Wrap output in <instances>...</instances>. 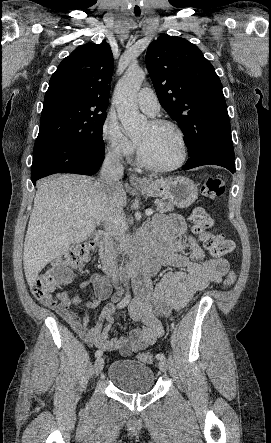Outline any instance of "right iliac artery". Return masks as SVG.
Instances as JSON below:
<instances>
[{
	"instance_id": "1",
	"label": "right iliac artery",
	"mask_w": 271,
	"mask_h": 443,
	"mask_svg": "<svg viewBox=\"0 0 271 443\" xmlns=\"http://www.w3.org/2000/svg\"><path fill=\"white\" fill-rule=\"evenodd\" d=\"M129 301H130V295L127 293L125 295L124 299L117 305V307L121 309V308L125 307L129 303ZM102 354H103V352L101 350H97L95 352V357L99 358L102 356Z\"/></svg>"
}]
</instances>
